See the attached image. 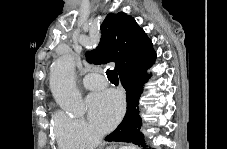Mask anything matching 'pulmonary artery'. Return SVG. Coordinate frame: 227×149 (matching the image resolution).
Segmentation results:
<instances>
[{
    "label": "pulmonary artery",
    "mask_w": 227,
    "mask_h": 149,
    "mask_svg": "<svg viewBox=\"0 0 227 149\" xmlns=\"http://www.w3.org/2000/svg\"><path fill=\"white\" fill-rule=\"evenodd\" d=\"M83 84L89 90H99L106 87L107 80L100 74L88 73L83 79Z\"/></svg>",
    "instance_id": "obj_1"
}]
</instances>
